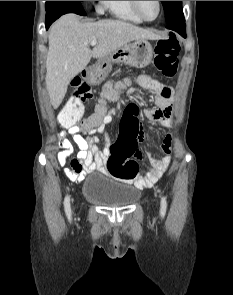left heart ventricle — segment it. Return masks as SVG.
<instances>
[{
  "instance_id": "obj_1",
  "label": "left heart ventricle",
  "mask_w": 233,
  "mask_h": 295,
  "mask_svg": "<svg viewBox=\"0 0 233 295\" xmlns=\"http://www.w3.org/2000/svg\"><path fill=\"white\" fill-rule=\"evenodd\" d=\"M142 15L147 19H153L158 10L157 1H138Z\"/></svg>"
}]
</instances>
